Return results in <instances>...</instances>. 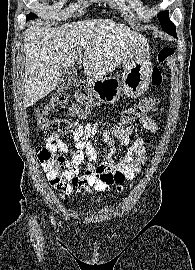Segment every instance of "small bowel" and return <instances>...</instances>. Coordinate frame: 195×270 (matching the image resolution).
<instances>
[{"mask_svg": "<svg viewBox=\"0 0 195 270\" xmlns=\"http://www.w3.org/2000/svg\"><path fill=\"white\" fill-rule=\"evenodd\" d=\"M156 111L155 107L150 113ZM75 124L74 149L69 150L59 136L48 138L47 146L56 148L66 156L65 168L78 192L81 189L88 192L94 189L98 192L109 193L112 185H115L117 191L121 192L124 181L137 176L148 156L144 140L138 134L136 126L144 128L153 135L158 131L156 122L147 115L140 117L136 125H111L100 138V142L106 146V155L104 160L98 163V154L92 141L98 129V122H87L84 125L75 122ZM132 139L133 143L128 154L121 162L116 163L114 161L115 152L120 146H127ZM83 164L84 169H82ZM67 193L71 194L72 189L70 188Z\"/></svg>", "mask_w": 195, "mask_h": 270, "instance_id": "obj_1", "label": "small bowel"}]
</instances>
